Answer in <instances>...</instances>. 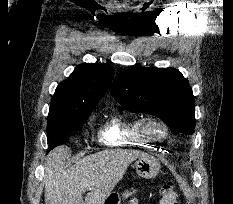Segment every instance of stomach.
<instances>
[{
    "label": "stomach",
    "mask_w": 233,
    "mask_h": 204,
    "mask_svg": "<svg viewBox=\"0 0 233 204\" xmlns=\"http://www.w3.org/2000/svg\"><path fill=\"white\" fill-rule=\"evenodd\" d=\"M135 169L138 175L145 179L155 178L160 171V164L156 158L145 155L141 156L135 162ZM118 198V203L120 204L122 198H127L131 195V188L125 189L121 193H116ZM106 201L104 202V204Z\"/></svg>",
    "instance_id": "1"
}]
</instances>
